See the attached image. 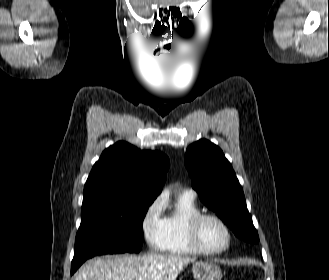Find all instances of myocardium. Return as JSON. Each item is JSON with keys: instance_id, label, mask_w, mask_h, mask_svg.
I'll return each instance as SVG.
<instances>
[{"instance_id": "myocardium-1", "label": "myocardium", "mask_w": 329, "mask_h": 280, "mask_svg": "<svg viewBox=\"0 0 329 280\" xmlns=\"http://www.w3.org/2000/svg\"><path fill=\"white\" fill-rule=\"evenodd\" d=\"M207 219H211L218 222L223 227L226 233V237H227L226 243L220 249H216V250L206 249L200 241V227L202 223ZM187 233H188L189 242L192 248L194 249V251L198 254L206 255V256H217L223 254L230 248L233 239L232 231L228 226V224L225 222V220L219 215L210 212H205V213L200 212L194 215L188 222Z\"/></svg>"}]
</instances>
